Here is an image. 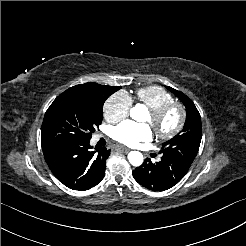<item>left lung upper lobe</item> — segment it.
Instances as JSON below:
<instances>
[{
    "mask_svg": "<svg viewBox=\"0 0 246 246\" xmlns=\"http://www.w3.org/2000/svg\"><path fill=\"white\" fill-rule=\"evenodd\" d=\"M166 88L183 102L187 116L182 132L163 143L160 153L182 163L184 167L190 168L201 142V117L194 103L184 93L169 86Z\"/></svg>",
    "mask_w": 246,
    "mask_h": 246,
    "instance_id": "5c2ea615",
    "label": "left lung upper lobe"
}]
</instances>
